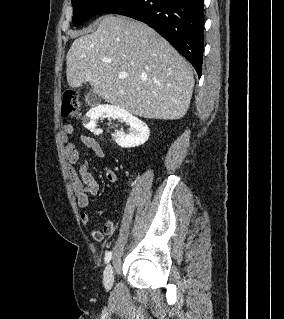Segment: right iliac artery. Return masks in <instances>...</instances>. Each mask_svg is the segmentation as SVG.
Masks as SVG:
<instances>
[{"instance_id":"right-iliac-artery-1","label":"right iliac artery","mask_w":284,"mask_h":319,"mask_svg":"<svg viewBox=\"0 0 284 319\" xmlns=\"http://www.w3.org/2000/svg\"><path fill=\"white\" fill-rule=\"evenodd\" d=\"M111 257H112V252L107 251L105 254V262L108 263L111 260Z\"/></svg>"}]
</instances>
